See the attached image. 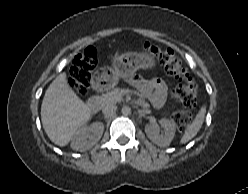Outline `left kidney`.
Wrapping results in <instances>:
<instances>
[{
  "mask_svg": "<svg viewBox=\"0 0 248 194\" xmlns=\"http://www.w3.org/2000/svg\"><path fill=\"white\" fill-rule=\"evenodd\" d=\"M159 123L165 129L163 135L159 134L156 125H149L146 127V135L152 142L160 147L169 146L175 135V124L166 118L161 119Z\"/></svg>",
  "mask_w": 248,
  "mask_h": 194,
  "instance_id": "1",
  "label": "left kidney"
}]
</instances>
